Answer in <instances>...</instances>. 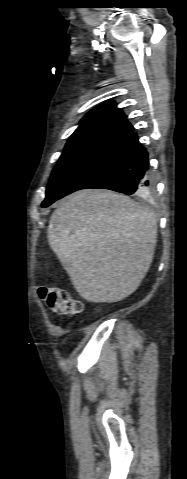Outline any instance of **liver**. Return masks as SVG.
<instances>
[{
	"mask_svg": "<svg viewBox=\"0 0 187 479\" xmlns=\"http://www.w3.org/2000/svg\"><path fill=\"white\" fill-rule=\"evenodd\" d=\"M47 237L80 296L113 303L136 291L148 272L157 221L125 195L85 189L59 201Z\"/></svg>",
	"mask_w": 187,
	"mask_h": 479,
	"instance_id": "liver-1",
	"label": "liver"
}]
</instances>
